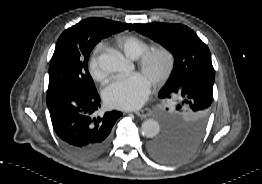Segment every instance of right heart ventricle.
I'll list each match as a JSON object with an SVG mask.
<instances>
[{
	"label": "right heart ventricle",
	"instance_id": "right-heart-ventricle-1",
	"mask_svg": "<svg viewBox=\"0 0 262 184\" xmlns=\"http://www.w3.org/2000/svg\"><path fill=\"white\" fill-rule=\"evenodd\" d=\"M119 45L126 56L129 58H138L146 50L149 49V45L141 39L134 36H127L119 41Z\"/></svg>",
	"mask_w": 262,
	"mask_h": 184
}]
</instances>
